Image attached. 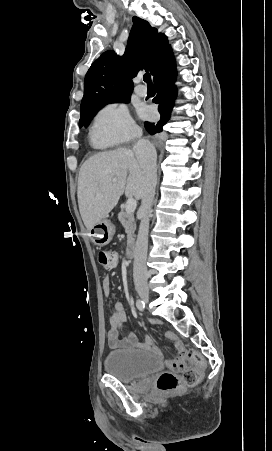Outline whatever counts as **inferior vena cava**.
<instances>
[{"instance_id":"1","label":"inferior vena cava","mask_w":272,"mask_h":451,"mask_svg":"<svg viewBox=\"0 0 272 451\" xmlns=\"http://www.w3.org/2000/svg\"><path fill=\"white\" fill-rule=\"evenodd\" d=\"M140 136H142V134H140ZM140 136H138V138H140ZM134 152L145 174L144 194L141 202L143 218L141 220L135 243L133 263L134 285L135 287H141V285H147L148 279L146 259L148 249L149 216L155 196L157 182V154L155 148H153L149 142H137L134 146Z\"/></svg>"}]
</instances>
